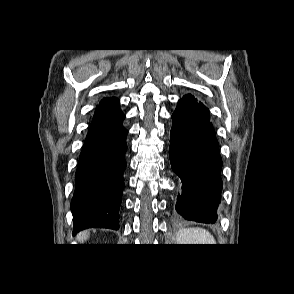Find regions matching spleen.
I'll list each match as a JSON object with an SVG mask.
<instances>
[{
	"label": "spleen",
	"mask_w": 294,
	"mask_h": 294,
	"mask_svg": "<svg viewBox=\"0 0 294 294\" xmlns=\"http://www.w3.org/2000/svg\"><path fill=\"white\" fill-rule=\"evenodd\" d=\"M178 244H216L211 233L203 228L180 229L176 235Z\"/></svg>",
	"instance_id": "spleen-1"
}]
</instances>
